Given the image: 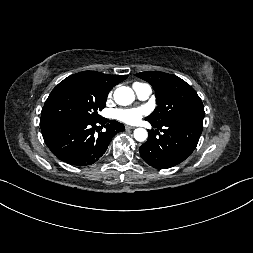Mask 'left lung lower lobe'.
Returning <instances> with one entry per match:
<instances>
[{
  "instance_id": "0a47b994",
  "label": "left lung lower lobe",
  "mask_w": 253,
  "mask_h": 253,
  "mask_svg": "<svg viewBox=\"0 0 253 253\" xmlns=\"http://www.w3.org/2000/svg\"><path fill=\"white\" fill-rule=\"evenodd\" d=\"M202 116L174 121L163 125L151 123L161 129L162 135L156 137L149 131V138L139 151L143 160L157 169H167L184 161L196 148L202 129ZM156 134L159 131L155 130Z\"/></svg>"
}]
</instances>
